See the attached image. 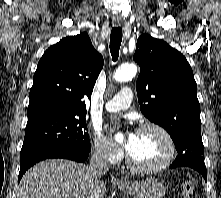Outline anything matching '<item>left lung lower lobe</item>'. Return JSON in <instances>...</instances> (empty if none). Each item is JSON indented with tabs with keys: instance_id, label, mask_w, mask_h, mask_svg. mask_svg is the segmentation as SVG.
I'll return each mask as SVG.
<instances>
[{
	"instance_id": "1",
	"label": "left lung lower lobe",
	"mask_w": 221,
	"mask_h": 198,
	"mask_svg": "<svg viewBox=\"0 0 221 198\" xmlns=\"http://www.w3.org/2000/svg\"><path fill=\"white\" fill-rule=\"evenodd\" d=\"M191 167L202 174L207 181V171L204 163V156L196 153H184L176 157L175 161L170 165V168Z\"/></svg>"
}]
</instances>
